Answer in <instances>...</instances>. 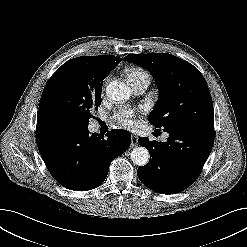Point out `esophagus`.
Listing matches in <instances>:
<instances>
[{"instance_id": "esophagus-1", "label": "esophagus", "mask_w": 247, "mask_h": 247, "mask_svg": "<svg viewBox=\"0 0 247 247\" xmlns=\"http://www.w3.org/2000/svg\"><path fill=\"white\" fill-rule=\"evenodd\" d=\"M138 145V136L135 134H131V147H135Z\"/></svg>"}]
</instances>
